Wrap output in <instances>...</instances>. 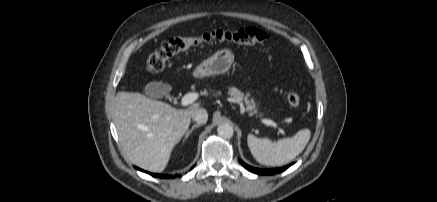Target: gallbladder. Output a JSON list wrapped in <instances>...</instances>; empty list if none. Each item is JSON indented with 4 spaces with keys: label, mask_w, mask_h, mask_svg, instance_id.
Returning <instances> with one entry per match:
<instances>
[{
    "label": "gallbladder",
    "mask_w": 437,
    "mask_h": 202,
    "mask_svg": "<svg viewBox=\"0 0 437 202\" xmlns=\"http://www.w3.org/2000/svg\"><path fill=\"white\" fill-rule=\"evenodd\" d=\"M169 91V85L163 82H150L146 84L144 93L148 98L157 99L167 95Z\"/></svg>",
    "instance_id": "gallbladder-1"
}]
</instances>
